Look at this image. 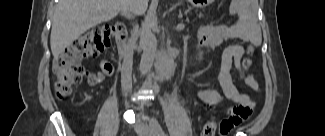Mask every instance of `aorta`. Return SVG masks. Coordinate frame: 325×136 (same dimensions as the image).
Returning a JSON list of instances; mask_svg holds the SVG:
<instances>
[{
	"label": "aorta",
	"instance_id": "aorta-1",
	"mask_svg": "<svg viewBox=\"0 0 325 136\" xmlns=\"http://www.w3.org/2000/svg\"><path fill=\"white\" fill-rule=\"evenodd\" d=\"M156 27L155 15L149 12L145 17V21L142 28V48L143 53L140 61V73L142 75L147 74L152 66L157 53V39L154 34Z\"/></svg>",
	"mask_w": 325,
	"mask_h": 136
}]
</instances>
